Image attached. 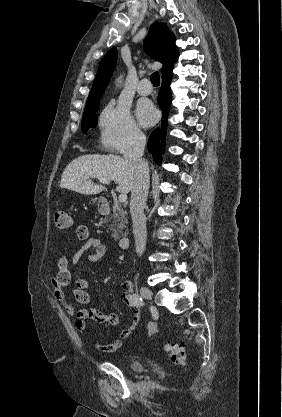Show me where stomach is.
<instances>
[{
  "instance_id": "1",
  "label": "stomach",
  "mask_w": 282,
  "mask_h": 417,
  "mask_svg": "<svg viewBox=\"0 0 282 417\" xmlns=\"http://www.w3.org/2000/svg\"><path fill=\"white\" fill-rule=\"evenodd\" d=\"M98 198H92V202H97Z\"/></svg>"
}]
</instances>
